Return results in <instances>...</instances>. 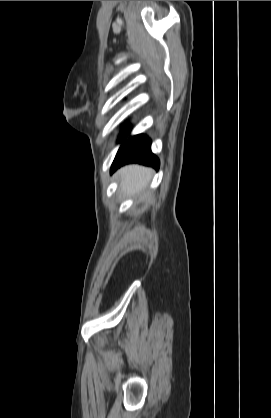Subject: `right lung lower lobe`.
Here are the masks:
<instances>
[{"label": "right lung lower lobe", "mask_w": 271, "mask_h": 418, "mask_svg": "<svg viewBox=\"0 0 271 418\" xmlns=\"http://www.w3.org/2000/svg\"><path fill=\"white\" fill-rule=\"evenodd\" d=\"M129 133L130 129L122 133L119 141H123ZM128 163H139L159 169V159L151 152V140L147 136L136 135L125 140L114 159L111 172Z\"/></svg>", "instance_id": "1"}]
</instances>
